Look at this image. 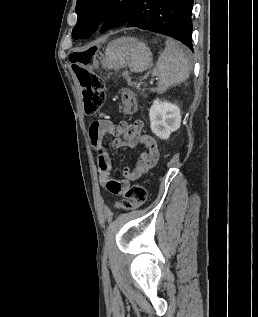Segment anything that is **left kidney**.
I'll return each instance as SVG.
<instances>
[{"mask_svg":"<svg viewBox=\"0 0 258 317\" xmlns=\"http://www.w3.org/2000/svg\"><path fill=\"white\" fill-rule=\"evenodd\" d=\"M149 118L152 132L159 138H169L171 132L180 126V108L173 102H162L156 98L149 110Z\"/></svg>","mask_w":258,"mask_h":317,"instance_id":"1","label":"left kidney"}]
</instances>
